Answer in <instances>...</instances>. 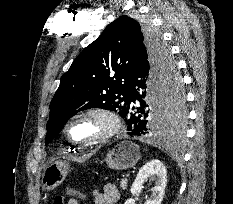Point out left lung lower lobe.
<instances>
[{"instance_id":"1","label":"left lung lower lobe","mask_w":233,"mask_h":204,"mask_svg":"<svg viewBox=\"0 0 233 204\" xmlns=\"http://www.w3.org/2000/svg\"><path fill=\"white\" fill-rule=\"evenodd\" d=\"M146 56L145 51L140 50L130 70L129 99L123 114L127 123L128 134L142 136L146 134H169L174 130L182 131L184 120L178 127H164V92L158 75L146 60ZM178 78L180 76L176 67L170 84L175 83ZM156 106L157 108L159 106L158 110H156Z\"/></svg>"}]
</instances>
